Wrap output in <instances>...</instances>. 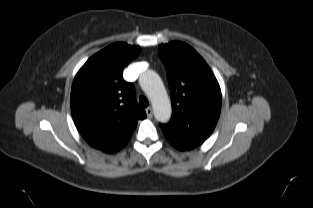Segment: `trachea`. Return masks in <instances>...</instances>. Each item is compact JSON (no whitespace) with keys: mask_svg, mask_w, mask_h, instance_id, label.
Segmentation results:
<instances>
[{"mask_svg":"<svg viewBox=\"0 0 313 208\" xmlns=\"http://www.w3.org/2000/svg\"><path fill=\"white\" fill-rule=\"evenodd\" d=\"M139 103L142 107H147L149 105V101L145 96H140L139 97Z\"/></svg>","mask_w":313,"mask_h":208,"instance_id":"obj_1","label":"trachea"}]
</instances>
